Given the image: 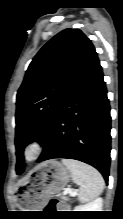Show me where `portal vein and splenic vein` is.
Segmentation results:
<instances>
[{"instance_id":"obj_1","label":"portal vein and splenic vein","mask_w":123,"mask_h":219,"mask_svg":"<svg viewBox=\"0 0 123 219\" xmlns=\"http://www.w3.org/2000/svg\"><path fill=\"white\" fill-rule=\"evenodd\" d=\"M64 194H71L72 196H76L77 195V192L76 191H73L72 189L70 188H67L64 190Z\"/></svg>"}]
</instances>
